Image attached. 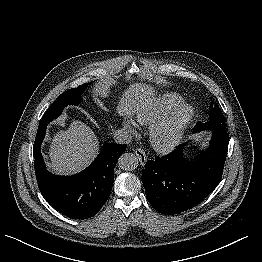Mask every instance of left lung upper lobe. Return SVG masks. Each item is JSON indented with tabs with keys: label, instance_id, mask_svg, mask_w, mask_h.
<instances>
[{
	"label": "left lung upper lobe",
	"instance_id": "left-lung-upper-lobe-1",
	"mask_svg": "<svg viewBox=\"0 0 262 262\" xmlns=\"http://www.w3.org/2000/svg\"><path fill=\"white\" fill-rule=\"evenodd\" d=\"M210 115L208 118V121L205 123L198 122L195 126L196 131H202L206 129H218L223 132H226L225 127V117L223 113L221 112L218 105H213V103L210 105Z\"/></svg>",
	"mask_w": 262,
	"mask_h": 262
}]
</instances>
